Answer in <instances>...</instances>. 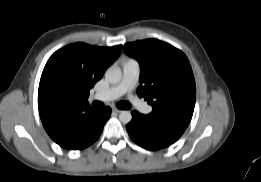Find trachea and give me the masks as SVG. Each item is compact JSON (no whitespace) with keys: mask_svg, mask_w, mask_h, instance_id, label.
<instances>
[{"mask_svg":"<svg viewBox=\"0 0 261 182\" xmlns=\"http://www.w3.org/2000/svg\"><path fill=\"white\" fill-rule=\"evenodd\" d=\"M92 106L94 108L100 109L104 106V104L102 102L94 101L92 103ZM117 107L119 109H129V108H131V104L129 102H126V101H121V102L117 103Z\"/></svg>","mask_w":261,"mask_h":182,"instance_id":"obj_1","label":"trachea"}]
</instances>
